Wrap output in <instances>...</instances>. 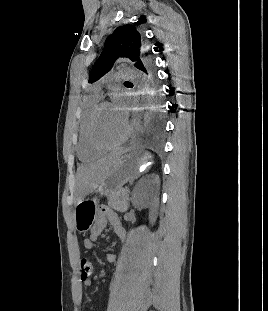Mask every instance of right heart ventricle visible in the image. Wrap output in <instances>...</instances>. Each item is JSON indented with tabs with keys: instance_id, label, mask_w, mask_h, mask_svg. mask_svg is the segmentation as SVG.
Masks as SVG:
<instances>
[{
	"instance_id": "e07e8e85",
	"label": "right heart ventricle",
	"mask_w": 268,
	"mask_h": 311,
	"mask_svg": "<svg viewBox=\"0 0 268 311\" xmlns=\"http://www.w3.org/2000/svg\"><path fill=\"white\" fill-rule=\"evenodd\" d=\"M99 97H89L83 107L81 115L79 117V129H78V142L77 153L82 161H89L98 157L101 151L93 148L88 140L87 136V123L89 116L95 106L98 104Z\"/></svg>"
}]
</instances>
